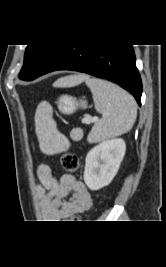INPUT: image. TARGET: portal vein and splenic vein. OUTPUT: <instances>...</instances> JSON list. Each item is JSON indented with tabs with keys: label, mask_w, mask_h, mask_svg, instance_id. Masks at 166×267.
<instances>
[{
	"label": "portal vein and splenic vein",
	"mask_w": 166,
	"mask_h": 267,
	"mask_svg": "<svg viewBox=\"0 0 166 267\" xmlns=\"http://www.w3.org/2000/svg\"><path fill=\"white\" fill-rule=\"evenodd\" d=\"M97 120H98L97 117H95V118H86V119L83 120V122L86 123V124H91L92 122L97 121Z\"/></svg>",
	"instance_id": "portal-vein-and-splenic-vein-1"
}]
</instances>
